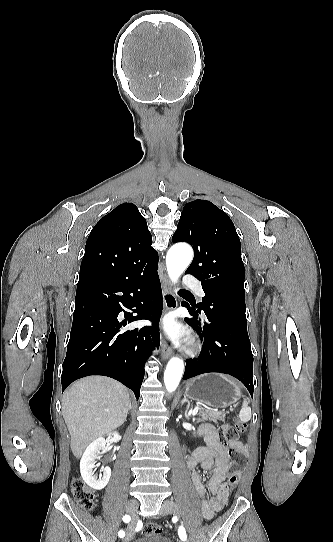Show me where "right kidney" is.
<instances>
[{
    "mask_svg": "<svg viewBox=\"0 0 333 542\" xmlns=\"http://www.w3.org/2000/svg\"><path fill=\"white\" fill-rule=\"evenodd\" d=\"M117 440H119V434H117V432L108 434V440H105V438H97V440H94V442H91V444L87 446L80 460L81 478L84 480L85 484L90 486V488H93V490H103V488L107 486L111 476V468H108V466H103V468H101L103 476H100V478L94 476L93 468H96L95 460L102 458L100 454H105V452H100V450H106L107 442H110L111 444V442H117Z\"/></svg>",
    "mask_w": 333,
    "mask_h": 542,
    "instance_id": "obj_1",
    "label": "right kidney"
}]
</instances>
